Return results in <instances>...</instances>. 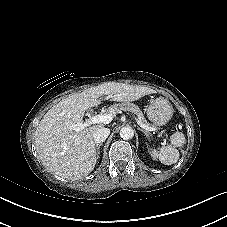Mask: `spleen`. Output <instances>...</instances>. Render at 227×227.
Wrapping results in <instances>:
<instances>
[{
  "label": "spleen",
  "instance_id": "1",
  "mask_svg": "<svg viewBox=\"0 0 227 227\" xmlns=\"http://www.w3.org/2000/svg\"><path fill=\"white\" fill-rule=\"evenodd\" d=\"M185 136L182 132H175L170 136L171 145L162 146L158 150L152 149L151 156L158 158L165 165H172L179 159V151L177 147H182L185 144Z\"/></svg>",
  "mask_w": 227,
  "mask_h": 227
}]
</instances>
